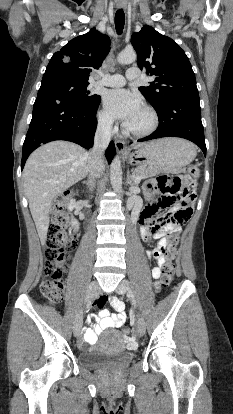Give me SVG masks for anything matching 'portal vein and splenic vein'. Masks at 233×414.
I'll list each match as a JSON object with an SVG mask.
<instances>
[{"instance_id": "obj_1", "label": "portal vein and splenic vein", "mask_w": 233, "mask_h": 414, "mask_svg": "<svg viewBox=\"0 0 233 414\" xmlns=\"http://www.w3.org/2000/svg\"><path fill=\"white\" fill-rule=\"evenodd\" d=\"M140 181H141V178L140 177H134L135 184H139Z\"/></svg>"}]
</instances>
